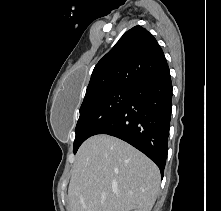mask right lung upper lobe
Wrapping results in <instances>:
<instances>
[{
	"label": "right lung upper lobe",
	"instance_id": "obj_1",
	"mask_svg": "<svg viewBox=\"0 0 221 211\" xmlns=\"http://www.w3.org/2000/svg\"><path fill=\"white\" fill-rule=\"evenodd\" d=\"M168 71L163 50L154 36L135 26L97 63L84 100L118 88H133Z\"/></svg>",
	"mask_w": 221,
	"mask_h": 211
}]
</instances>
